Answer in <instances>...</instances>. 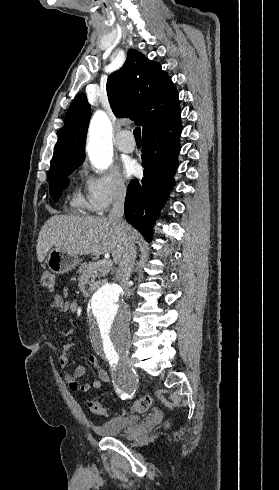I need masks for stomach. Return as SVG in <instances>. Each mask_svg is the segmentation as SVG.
<instances>
[{
	"mask_svg": "<svg viewBox=\"0 0 279 490\" xmlns=\"http://www.w3.org/2000/svg\"><path fill=\"white\" fill-rule=\"evenodd\" d=\"M45 262L53 274L62 276V274H68V272L78 266L79 258L77 254H70V252H65V250L53 248V250H50Z\"/></svg>",
	"mask_w": 279,
	"mask_h": 490,
	"instance_id": "1",
	"label": "stomach"
}]
</instances>
